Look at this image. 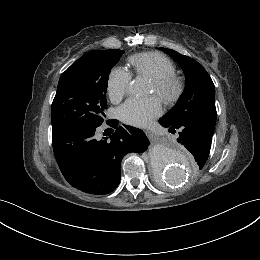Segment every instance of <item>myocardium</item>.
Here are the masks:
<instances>
[{
    "instance_id": "1",
    "label": "myocardium",
    "mask_w": 260,
    "mask_h": 260,
    "mask_svg": "<svg viewBox=\"0 0 260 260\" xmlns=\"http://www.w3.org/2000/svg\"><path fill=\"white\" fill-rule=\"evenodd\" d=\"M152 84L154 93L167 103L176 100L183 90L182 80L175 75L152 79Z\"/></svg>"
}]
</instances>
